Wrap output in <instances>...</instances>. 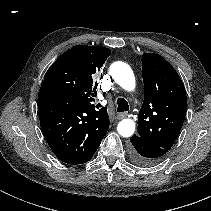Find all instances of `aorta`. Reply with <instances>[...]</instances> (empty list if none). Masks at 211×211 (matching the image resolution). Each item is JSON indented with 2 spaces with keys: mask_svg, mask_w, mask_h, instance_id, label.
I'll use <instances>...</instances> for the list:
<instances>
[{
  "mask_svg": "<svg viewBox=\"0 0 211 211\" xmlns=\"http://www.w3.org/2000/svg\"><path fill=\"white\" fill-rule=\"evenodd\" d=\"M110 75L114 81L125 90L131 91L135 87V77L132 69L124 62H114L110 66ZM117 131L122 137H130L135 131V122L126 118L119 122Z\"/></svg>",
  "mask_w": 211,
  "mask_h": 211,
  "instance_id": "obj_1",
  "label": "aorta"
}]
</instances>
